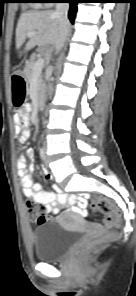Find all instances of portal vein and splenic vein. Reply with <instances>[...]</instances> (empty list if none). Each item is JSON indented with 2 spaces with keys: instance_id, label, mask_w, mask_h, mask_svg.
I'll list each match as a JSON object with an SVG mask.
<instances>
[{
  "instance_id": "portal-vein-and-splenic-vein-1",
  "label": "portal vein and splenic vein",
  "mask_w": 136,
  "mask_h": 296,
  "mask_svg": "<svg viewBox=\"0 0 136 296\" xmlns=\"http://www.w3.org/2000/svg\"><path fill=\"white\" fill-rule=\"evenodd\" d=\"M36 34H37V32H35V31H31V32H28V33H27V36H28V37H33V36H35ZM44 62H45L44 58H38V60H37L36 63H35L34 69H33V74H34V75L38 76V75L41 74L42 69H43V67H44Z\"/></svg>"
}]
</instances>
